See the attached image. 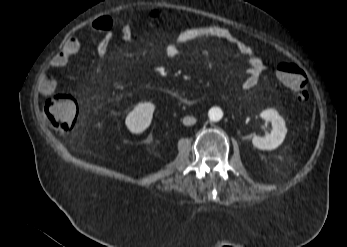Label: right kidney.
I'll use <instances>...</instances> for the list:
<instances>
[{
  "label": "right kidney",
  "mask_w": 347,
  "mask_h": 247,
  "mask_svg": "<svg viewBox=\"0 0 347 247\" xmlns=\"http://www.w3.org/2000/svg\"><path fill=\"white\" fill-rule=\"evenodd\" d=\"M155 105L150 102L139 103L126 117L125 123L132 133H142L151 123Z\"/></svg>",
  "instance_id": "right-kidney-1"
}]
</instances>
